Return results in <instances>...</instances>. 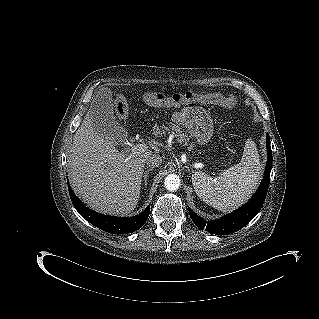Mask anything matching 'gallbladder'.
Here are the masks:
<instances>
[{"mask_svg": "<svg viewBox=\"0 0 319 319\" xmlns=\"http://www.w3.org/2000/svg\"><path fill=\"white\" fill-rule=\"evenodd\" d=\"M90 110L94 128L100 135L111 139L127 136V132L114 116L112 97L108 89L96 95Z\"/></svg>", "mask_w": 319, "mask_h": 319, "instance_id": "gallbladder-1", "label": "gallbladder"}]
</instances>
